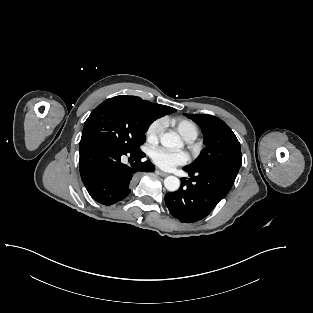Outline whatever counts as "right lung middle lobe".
<instances>
[{"label": "right lung middle lobe", "mask_w": 313, "mask_h": 313, "mask_svg": "<svg viewBox=\"0 0 313 313\" xmlns=\"http://www.w3.org/2000/svg\"><path fill=\"white\" fill-rule=\"evenodd\" d=\"M154 120L145 106L131 99L123 96L107 99L85 121L79 147L102 143L127 152L139 150Z\"/></svg>", "instance_id": "right-lung-middle-lobe-1"}]
</instances>
